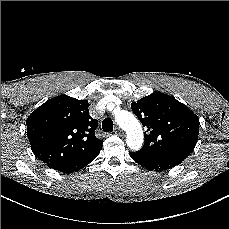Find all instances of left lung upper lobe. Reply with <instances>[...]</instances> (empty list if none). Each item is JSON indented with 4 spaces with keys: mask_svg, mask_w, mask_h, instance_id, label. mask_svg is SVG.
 <instances>
[{
    "mask_svg": "<svg viewBox=\"0 0 229 229\" xmlns=\"http://www.w3.org/2000/svg\"><path fill=\"white\" fill-rule=\"evenodd\" d=\"M131 108L147 127L139 156L183 161L193 151L199 134V118L174 97L161 92L132 102Z\"/></svg>",
    "mask_w": 229,
    "mask_h": 229,
    "instance_id": "1",
    "label": "left lung upper lobe"
}]
</instances>
